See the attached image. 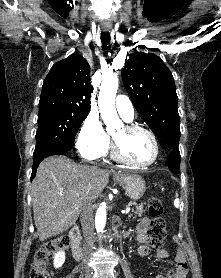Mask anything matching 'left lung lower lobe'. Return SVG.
Listing matches in <instances>:
<instances>
[{"label": "left lung lower lobe", "mask_w": 221, "mask_h": 278, "mask_svg": "<svg viewBox=\"0 0 221 278\" xmlns=\"http://www.w3.org/2000/svg\"><path fill=\"white\" fill-rule=\"evenodd\" d=\"M180 159L179 149L169 150L167 165L173 173H180Z\"/></svg>", "instance_id": "0a47b994"}]
</instances>
